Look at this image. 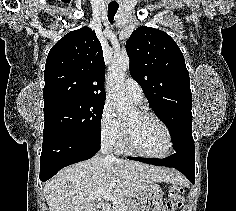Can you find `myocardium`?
Returning <instances> with one entry per match:
<instances>
[{"label":"myocardium","mask_w":236,"mask_h":211,"mask_svg":"<svg viewBox=\"0 0 236 211\" xmlns=\"http://www.w3.org/2000/svg\"><path fill=\"white\" fill-rule=\"evenodd\" d=\"M136 112H137V114L139 116H141L143 118H146V119H151V120L157 122L159 125L162 126V128L164 129V131H165V133L167 135V139H168L167 149L165 150V152H163L161 154H150V153H146V152H143V151L139 150L133 144L129 128H128V126H127V124L125 122H124V138H123L124 146L130 152H132L134 154H137L139 156H142V157H148V158H164V157H167L171 153V151L173 149V138H172V134L170 132V129L168 128L166 123L163 122L160 118H158L156 115H154L153 113H151L148 110L137 109Z\"/></svg>","instance_id":"obj_1"}]
</instances>
